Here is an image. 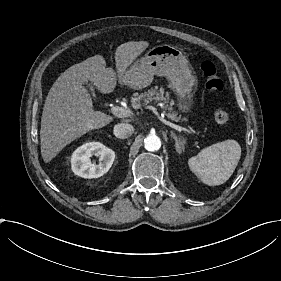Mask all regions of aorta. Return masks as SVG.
I'll use <instances>...</instances> for the list:
<instances>
[{
    "mask_svg": "<svg viewBox=\"0 0 281 281\" xmlns=\"http://www.w3.org/2000/svg\"><path fill=\"white\" fill-rule=\"evenodd\" d=\"M144 146L148 151H157L161 147V140L157 135L150 134L144 139Z\"/></svg>",
    "mask_w": 281,
    "mask_h": 281,
    "instance_id": "762f6f07",
    "label": "aorta"
}]
</instances>
